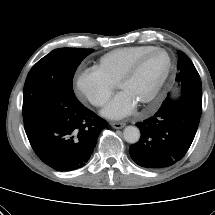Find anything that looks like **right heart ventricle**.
<instances>
[{
    "mask_svg": "<svg viewBox=\"0 0 215 215\" xmlns=\"http://www.w3.org/2000/svg\"><path fill=\"white\" fill-rule=\"evenodd\" d=\"M152 46H130L114 49L99 58L94 68L109 82L116 84L128 66Z\"/></svg>",
    "mask_w": 215,
    "mask_h": 215,
    "instance_id": "e07e8e85",
    "label": "right heart ventricle"
}]
</instances>
